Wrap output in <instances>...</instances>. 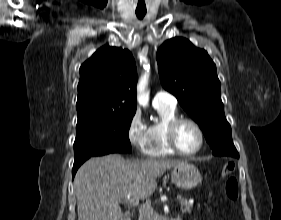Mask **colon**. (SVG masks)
Masks as SVG:
<instances>
[{
    "label": "colon",
    "instance_id": "colon-1",
    "mask_svg": "<svg viewBox=\"0 0 281 220\" xmlns=\"http://www.w3.org/2000/svg\"><path fill=\"white\" fill-rule=\"evenodd\" d=\"M233 171H234L233 163H226L222 168V175L224 177H227V180L225 183L226 196L230 200L234 201L238 198L239 186H238L237 179L231 175Z\"/></svg>",
    "mask_w": 281,
    "mask_h": 220
}]
</instances>
